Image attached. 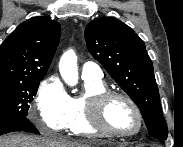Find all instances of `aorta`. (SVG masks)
Here are the masks:
<instances>
[{"label":"aorta","instance_id":"aorta-1","mask_svg":"<svg viewBox=\"0 0 183 147\" xmlns=\"http://www.w3.org/2000/svg\"><path fill=\"white\" fill-rule=\"evenodd\" d=\"M59 71L65 83L71 87L78 83L77 56L73 50L66 51L59 62Z\"/></svg>","mask_w":183,"mask_h":147}]
</instances>
